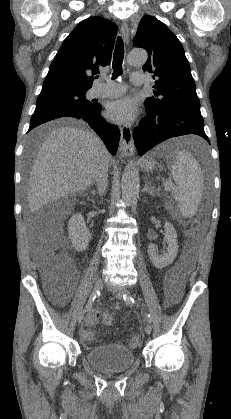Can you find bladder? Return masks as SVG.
<instances>
[{"mask_svg":"<svg viewBox=\"0 0 231 419\" xmlns=\"http://www.w3.org/2000/svg\"><path fill=\"white\" fill-rule=\"evenodd\" d=\"M85 360L96 371L112 373L127 371L136 362V357L122 344L106 343L86 351Z\"/></svg>","mask_w":231,"mask_h":419,"instance_id":"31cf9c89","label":"bladder"}]
</instances>
